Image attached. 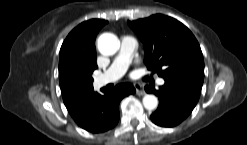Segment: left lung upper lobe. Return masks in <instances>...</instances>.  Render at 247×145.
<instances>
[{
  "instance_id": "1",
  "label": "left lung upper lobe",
  "mask_w": 247,
  "mask_h": 145,
  "mask_svg": "<svg viewBox=\"0 0 247 145\" xmlns=\"http://www.w3.org/2000/svg\"><path fill=\"white\" fill-rule=\"evenodd\" d=\"M128 24L144 44L148 69H154L164 79H182L202 87V51L185 25L162 14Z\"/></svg>"
}]
</instances>
